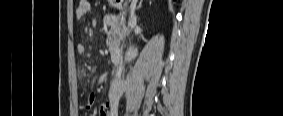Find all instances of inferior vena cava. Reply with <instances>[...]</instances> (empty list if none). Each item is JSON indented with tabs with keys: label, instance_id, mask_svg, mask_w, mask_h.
<instances>
[{
	"label": "inferior vena cava",
	"instance_id": "1",
	"mask_svg": "<svg viewBox=\"0 0 283 116\" xmlns=\"http://www.w3.org/2000/svg\"><path fill=\"white\" fill-rule=\"evenodd\" d=\"M135 4H136V0H134V1L132 2L131 17H130V23H131V25L135 22V13H134V11H135Z\"/></svg>",
	"mask_w": 283,
	"mask_h": 116
}]
</instances>
